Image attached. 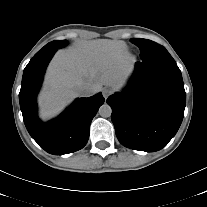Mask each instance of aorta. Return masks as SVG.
Returning a JSON list of instances; mask_svg holds the SVG:
<instances>
[{
    "mask_svg": "<svg viewBox=\"0 0 207 207\" xmlns=\"http://www.w3.org/2000/svg\"><path fill=\"white\" fill-rule=\"evenodd\" d=\"M98 113L102 117H110L112 114V109L108 104H103L100 106Z\"/></svg>",
    "mask_w": 207,
    "mask_h": 207,
    "instance_id": "obj_1",
    "label": "aorta"
}]
</instances>
